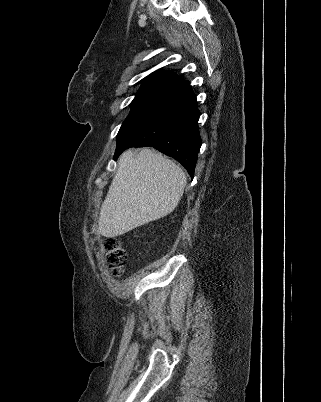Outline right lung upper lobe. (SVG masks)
I'll return each mask as SVG.
<instances>
[{"instance_id": "cb5924a9", "label": "right lung upper lobe", "mask_w": 321, "mask_h": 402, "mask_svg": "<svg viewBox=\"0 0 321 402\" xmlns=\"http://www.w3.org/2000/svg\"><path fill=\"white\" fill-rule=\"evenodd\" d=\"M182 82H184V79L178 77L172 72L157 70L146 77V80L143 82L142 86L150 84H160L174 88Z\"/></svg>"}]
</instances>
